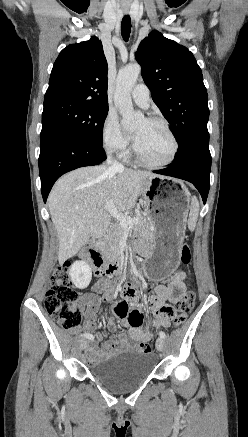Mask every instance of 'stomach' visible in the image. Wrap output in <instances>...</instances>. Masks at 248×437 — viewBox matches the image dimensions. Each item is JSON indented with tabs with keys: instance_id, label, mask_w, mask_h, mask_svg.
<instances>
[{
	"instance_id": "0dacf381",
	"label": "stomach",
	"mask_w": 248,
	"mask_h": 437,
	"mask_svg": "<svg viewBox=\"0 0 248 437\" xmlns=\"http://www.w3.org/2000/svg\"><path fill=\"white\" fill-rule=\"evenodd\" d=\"M145 205L152 226V255L141 264L155 286L174 272L185 233L189 211V192L185 185L166 177L147 181Z\"/></svg>"
}]
</instances>
